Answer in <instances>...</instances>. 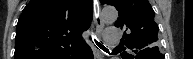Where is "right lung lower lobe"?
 <instances>
[{"label": "right lung lower lobe", "instance_id": "obj_1", "mask_svg": "<svg viewBox=\"0 0 193 59\" xmlns=\"http://www.w3.org/2000/svg\"><path fill=\"white\" fill-rule=\"evenodd\" d=\"M69 59H93V53L88 45H84L76 54Z\"/></svg>", "mask_w": 193, "mask_h": 59}]
</instances>
